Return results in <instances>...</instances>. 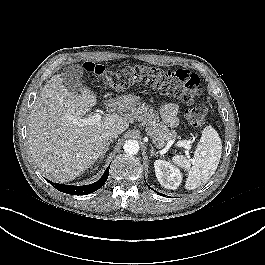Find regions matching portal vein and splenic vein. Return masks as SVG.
Instances as JSON below:
<instances>
[{"mask_svg": "<svg viewBox=\"0 0 265 265\" xmlns=\"http://www.w3.org/2000/svg\"><path fill=\"white\" fill-rule=\"evenodd\" d=\"M102 119L101 114L95 113L93 116H89L87 118H80V119H73L75 124L78 126H85V125H91L94 123H99ZM178 147H184L185 149L189 150L190 145L189 142L186 141H179L176 143Z\"/></svg>", "mask_w": 265, "mask_h": 265, "instance_id": "1", "label": "portal vein and splenic vein"}]
</instances>
